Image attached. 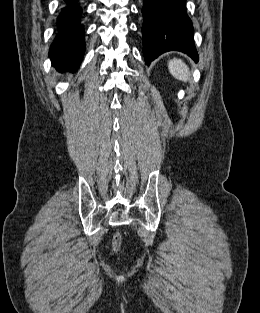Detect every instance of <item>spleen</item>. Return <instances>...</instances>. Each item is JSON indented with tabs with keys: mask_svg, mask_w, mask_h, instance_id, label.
Wrapping results in <instances>:
<instances>
[{
	"mask_svg": "<svg viewBox=\"0 0 260 313\" xmlns=\"http://www.w3.org/2000/svg\"><path fill=\"white\" fill-rule=\"evenodd\" d=\"M168 69L171 75L177 80L187 82L190 78L188 66L181 59H172L168 62Z\"/></svg>",
	"mask_w": 260,
	"mask_h": 313,
	"instance_id": "1",
	"label": "spleen"
}]
</instances>
